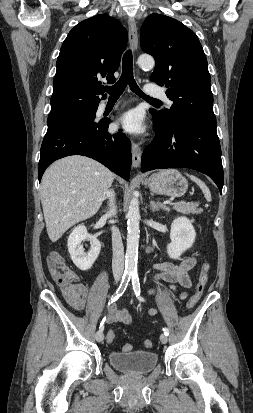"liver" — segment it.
I'll list each match as a JSON object with an SVG mask.
<instances>
[{"instance_id": "obj_1", "label": "liver", "mask_w": 253, "mask_h": 413, "mask_svg": "<svg viewBox=\"0 0 253 413\" xmlns=\"http://www.w3.org/2000/svg\"><path fill=\"white\" fill-rule=\"evenodd\" d=\"M113 180V172L85 156H68L49 166L40 196L50 240L56 242L70 227L94 216Z\"/></svg>"}]
</instances>
